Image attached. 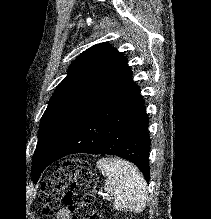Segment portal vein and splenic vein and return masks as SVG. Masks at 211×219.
Masks as SVG:
<instances>
[{"label": "portal vein and splenic vein", "mask_w": 211, "mask_h": 219, "mask_svg": "<svg viewBox=\"0 0 211 219\" xmlns=\"http://www.w3.org/2000/svg\"><path fill=\"white\" fill-rule=\"evenodd\" d=\"M106 198L108 199V198H109V196H108V195H106Z\"/></svg>", "instance_id": "obj_1"}]
</instances>
